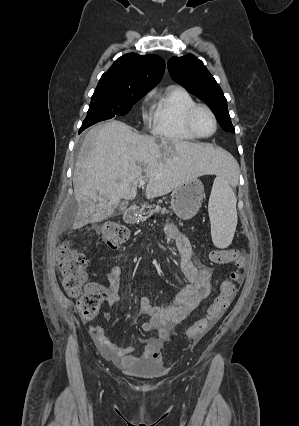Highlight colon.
<instances>
[{"label":"colon","instance_id":"1","mask_svg":"<svg viewBox=\"0 0 299 426\" xmlns=\"http://www.w3.org/2000/svg\"><path fill=\"white\" fill-rule=\"evenodd\" d=\"M98 232L104 245L109 248H117L128 236L126 228L113 222L104 224ZM209 259L217 265L235 263L238 269L220 283L218 293L205 316L186 330L185 337L189 340L199 339L215 325L231 305L243 278V269L246 264L243 251L213 249L209 252ZM57 263L62 285L70 296L78 299L80 314L86 320L93 319L99 312L103 296L92 286L85 285L87 278L85 255L80 250L62 245L57 251Z\"/></svg>","mask_w":299,"mask_h":426}]
</instances>
